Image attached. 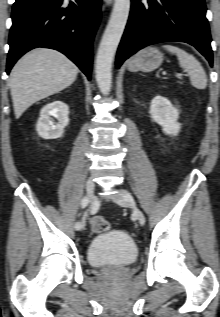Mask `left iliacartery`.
I'll use <instances>...</instances> for the list:
<instances>
[{"mask_svg":"<svg viewBox=\"0 0 220 317\" xmlns=\"http://www.w3.org/2000/svg\"><path fill=\"white\" fill-rule=\"evenodd\" d=\"M127 196H130V194L128 192H125Z\"/></svg>","mask_w":220,"mask_h":317,"instance_id":"44dca946","label":"left iliac artery"}]
</instances>
